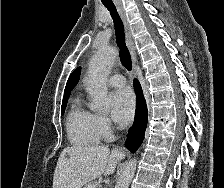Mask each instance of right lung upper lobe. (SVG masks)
<instances>
[{
	"label": "right lung upper lobe",
	"instance_id": "obj_1",
	"mask_svg": "<svg viewBox=\"0 0 224 188\" xmlns=\"http://www.w3.org/2000/svg\"><path fill=\"white\" fill-rule=\"evenodd\" d=\"M81 68L78 67L69 77L65 91H64V97L63 102L68 100V97L70 95V91L77 85L80 77Z\"/></svg>",
	"mask_w": 224,
	"mask_h": 188
}]
</instances>
